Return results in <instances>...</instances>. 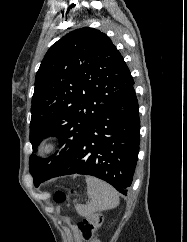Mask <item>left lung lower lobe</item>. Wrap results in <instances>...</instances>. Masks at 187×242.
Here are the masks:
<instances>
[{
	"label": "left lung lower lobe",
	"instance_id": "left-lung-lower-lobe-1",
	"mask_svg": "<svg viewBox=\"0 0 187 242\" xmlns=\"http://www.w3.org/2000/svg\"><path fill=\"white\" fill-rule=\"evenodd\" d=\"M133 85L92 122L62 163L48 174L34 177L36 187L47 179L78 173L100 178L127 194L140 143L139 109Z\"/></svg>",
	"mask_w": 187,
	"mask_h": 242
}]
</instances>
